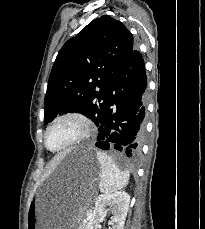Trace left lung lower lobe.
<instances>
[{"mask_svg": "<svg viewBox=\"0 0 205 229\" xmlns=\"http://www.w3.org/2000/svg\"><path fill=\"white\" fill-rule=\"evenodd\" d=\"M146 89L144 60L133 48L108 90V102L98 125L97 147L116 149L132 158L140 154L145 131Z\"/></svg>", "mask_w": 205, "mask_h": 229, "instance_id": "1", "label": "left lung lower lobe"}]
</instances>
